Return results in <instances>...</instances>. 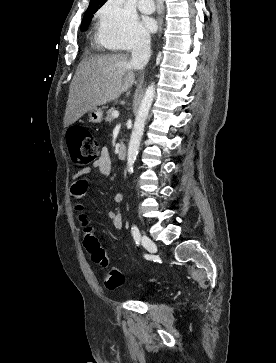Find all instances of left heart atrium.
I'll return each mask as SVG.
<instances>
[{"mask_svg": "<svg viewBox=\"0 0 276 363\" xmlns=\"http://www.w3.org/2000/svg\"><path fill=\"white\" fill-rule=\"evenodd\" d=\"M144 25L149 31H153L156 27V21L151 17L144 18Z\"/></svg>", "mask_w": 276, "mask_h": 363, "instance_id": "39dd6f15", "label": "left heart atrium"}]
</instances>
